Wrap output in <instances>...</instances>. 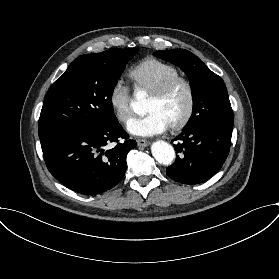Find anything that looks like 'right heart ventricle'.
<instances>
[{
	"label": "right heart ventricle",
	"instance_id": "obj_1",
	"mask_svg": "<svg viewBox=\"0 0 279 279\" xmlns=\"http://www.w3.org/2000/svg\"><path fill=\"white\" fill-rule=\"evenodd\" d=\"M179 75H181V72L178 67L156 58H147L130 71V76L135 85L149 93L154 92L169 78Z\"/></svg>",
	"mask_w": 279,
	"mask_h": 279
}]
</instances>
